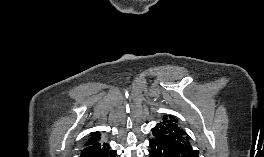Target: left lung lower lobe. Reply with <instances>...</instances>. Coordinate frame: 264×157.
<instances>
[{
  "mask_svg": "<svg viewBox=\"0 0 264 157\" xmlns=\"http://www.w3.org/2000/svg\"><path fill=\"white\" fill-rule=\"evenodd\" d=\"M149 157H181L175 149L161 140L150 139Z\"/></svg>",
  "mask_w": 264,
  "mask_h": 157,
  "instance_id": "1",
  "label": "left lung lower lobe"
}]
</instances>
